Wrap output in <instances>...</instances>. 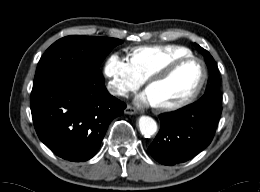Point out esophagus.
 <instances>
[{
	"instance_id": "1",
	"label": "esophagus",
	"mask_w": 260,
	"mask_h": 192,
	"mask_svg": "<svg viewBox=\"0 0 260 192\" xmlns=\"http://www.w3.org/2000/svg\"><path fill=\"white\" fill-rule=\"evenodd\" d=\"M129 109H134V108L130 106ZM134 110H135V109H134Z\"/></svg>"
}]
</instances>
